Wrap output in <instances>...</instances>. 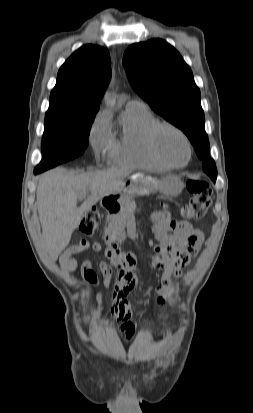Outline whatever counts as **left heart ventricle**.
<instances>
[{
	"instance_id": "1",
	"label": "left heart ventricle",
	"mask_w": 253,
	"mask_h": 413,
	"mask_svg": "<svg viewBox=\"0 0 253 413\" xmlns=\"http://www.w3.org/2000/svg\"><path fill=\"white\" fill-rule=\"evenodd\" d=\"M157 144L161 154L171 163L183 164L188 156L184 140L176 132L163 129L157 137Z\"/></svg>"
}]
</instances>
